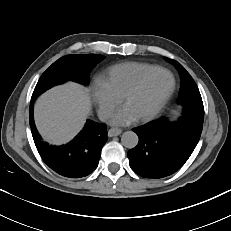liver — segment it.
Wrapping results in <instances>:
<instances>
[{"mask_svg":"<svg viewBox=\"0 0 231 231\" xmlns=\"http://www.w3.org/2000/svg\"><path fill=\"white\" fill-rule=\"evenodd\" d=\"M90 110L87 90L69 82L52 88L37 99L35 123L46 141L60 145L70 141L81 130Z\"/></svg>","mask_w":231,"mask_h":231,"instance_id":"liver-1","label":"liver"}]
</instances>
